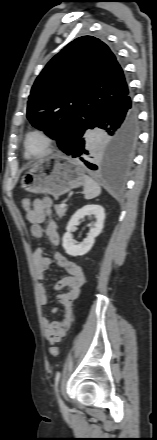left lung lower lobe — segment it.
<instances>
[{
	"mask_svg": "<svg viewBox=\"0 0 157 440\" xmlns=\"http://www.w3.org/2000/svg\"><path fill=\"white\" fill-rule=\"evenodd\" d=\"M89 129H101L105 141L96 149L83 135L66 154L91 170L121 177L131 164L138 135V112L130 91L102 108Z\"/></svg>",
	"mask_w": 157,
	"mask_h": 440,
	"instance_id": "0a47b994",
	"label": "left lung lower lobe"
}]
</instances>
